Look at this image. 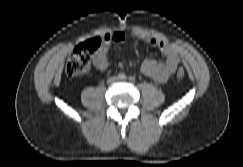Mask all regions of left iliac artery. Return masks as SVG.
I'll return each instance as SVG.
<instances>
[{
	"mask_svg": "<svg viewBox=\"0 0 243 167\" xmlns=\"http://www.w3.org/2000/svg\"><path fill=\"white\" fill-rule=\"evenodd\" d=\"M129 80L133 83L135 82V78L134 77H130Z\"/></svg>",
	"mask_w": 243,
	"mask_h": 167,
	"instance_id": "1",
	"label": "left iliac artery"
}]
</instances>
